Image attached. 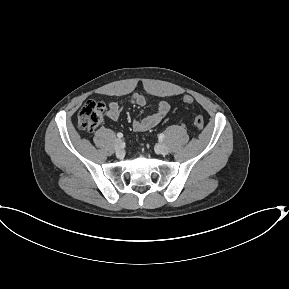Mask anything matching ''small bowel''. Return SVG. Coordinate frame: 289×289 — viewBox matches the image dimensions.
I'll use <instances>...</instances> for the list:
<instances>
[{"label": "small bowel", "mask_w": 289, "mask_h": 289, "mask_svg": "<svg viewBox=\"0 0 289 289\" xmlns=\"http://www.w3.org/2000/svg\"><path fill=\"white\" fill-rule=\"evenodd\" d=\"M129 103L144 106L147 103L146 98L140 94H133L129 98ZM169 104L165 101H161L157 104L155 112L145 118L135 119L132 123L133 130L135 132H144L158 125L169 111ZM122 110V105L118 102H110L108 104V110L106 112L107 118L112 121H116Z\"/></svg>", "instance_id": "1"}]
</instances>
